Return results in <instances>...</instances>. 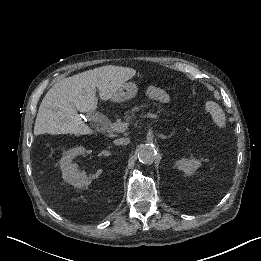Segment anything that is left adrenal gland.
Here are the masks:
<instances>
[{
	"instance_id": "obj_1",
	"label": "left adrenal gland",
	"mask_w": 261,
	"mask_h": 261,
	"mask_svg": "<svg viewBox=\"0 0 261 261\" xmlns=\"http://www.w3.org/2000/svg\"><path fill=\"white\" fill-rule=\"evenodd\" d=\"M158 137H159V138H162V139H167V138H168V136H165V135H163V134H160Z\"/></svg>"
}]
</instances>
